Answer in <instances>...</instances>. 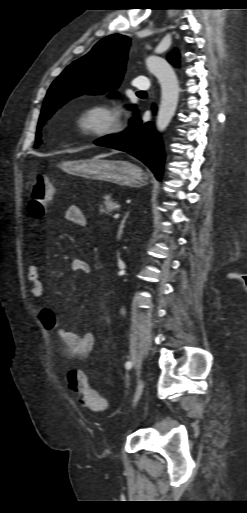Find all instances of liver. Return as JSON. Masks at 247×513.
Returning <instances> with one entry per match:
<instances>
[{
	"label": "liver",
	"instance_id": "6515ba94",
	"mask_svg": "<svg viewBox=\"0 0 247 513\" xmlns=\"http://www.w3.org/2000/svg\"><path fill=\"white\" fill-rule=\"evenodd\" d=\"M105 156H107V155L101 154V155L96 156L95 158H101V157H105Z\"/></svg>",
	"mask_w": 247,
	"mask_h": 513
}]
</instances>
